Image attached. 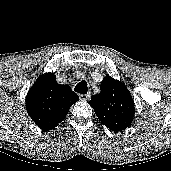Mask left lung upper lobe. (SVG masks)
Masks as SVG:
<instances>
[{
  "label": "left lung upper lobe",
  "instance_id": "5c2ea615",
  "mask_svg": "<svg viewBox=\"0 0 171 171\" xmlns=\"http://www.w3.org/2000/svg\"><path fill=\"white\" fill-rule=\"evenodd\" d=\"M101 92L93 95L90 105L102 124L115 132L131 125L135 114L134 101L124 83L110 76L103 79Z\"/></svg>",
  "mask_w": 171,
  "mask_h": 171
}]
</instances>
